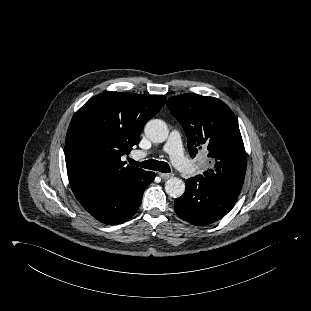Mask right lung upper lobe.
<instances>
[{
	"instance_id": "1",
	"label": "right lung upper lobe",
	"mask_w": 311,
	"mask_h": 311,
	"mask_svg": "<svg viewBox=\"0 0 311 311\" xmlns=\"http://www.w3.org/2000/svg\"><path fill=\"white\" fill-rule=\"evenodd\" d=\"M163 95L104 92L73 116L65 140L70 185L103 180L126 185L147 171L121 160L139 142L146 124L165 104Z\"/></svg>"
}]
</instances>
